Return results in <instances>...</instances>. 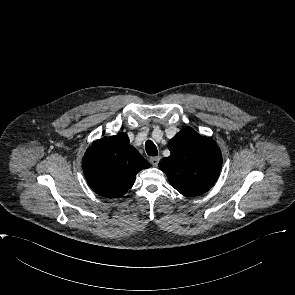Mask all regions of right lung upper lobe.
<instances>
[{
    "mask_svg": "<svg viewBox=\"0 0 295 295\" xmlns=\"http://www.w3.org/2000/svg\"><path fill=\"white\" fill-rule=\"evenodd\" d=\"M90 187L109 198L123 196L134 184L136 174L149 163L129 144L126 133L108 136L90 146L82 160Z\"/></svg>",
    "mask_w": 295,
    "mask_h": 295,
    "instance_id": "obj_1",
    "label": "right lung upper lobe"
}]
</instances>
